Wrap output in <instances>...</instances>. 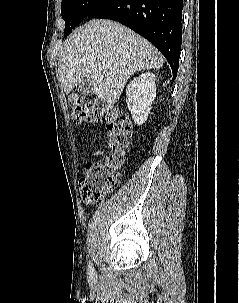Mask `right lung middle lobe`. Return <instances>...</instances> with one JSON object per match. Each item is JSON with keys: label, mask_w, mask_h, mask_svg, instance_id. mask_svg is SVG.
<instances>
[{"label": "right lung middle lobe", "mask_w": 239, "mask_h": 303, "mask_svg": "<svg viewBox=\"0 0 239 303\" xmlns=\"http://www.w3.org/2000/svg\"><path fill=\"white\" fill-rule=\"evenodd\" d=\"M106 0H63L61 15L65 20L64 37L71 33L82 19L101 6Z\"/></svg>", "instance_id": "1"}]
</instances>
